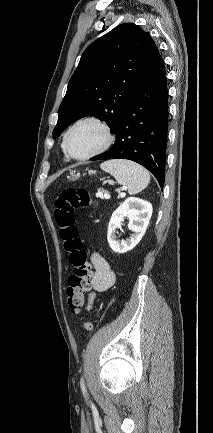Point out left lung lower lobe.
I'll return each mask as SVG.
<instances>
[{
    "instance_id": "0a47b994",
    "label": "left lung lower lobe",
    "mask_w": 213,
    "mask_h": 433,
    "mask_svg": "<svg viewBox=\"0 0 213 433\" xmlns=\"http://www.w3.org/2000/svg\"><path fill=\"white\" fill-rule=\"evenodd\" d=\"M168 94L160 54L141 81L114 128L113 147L90 160L128 159L153 173L161 188L165 180Z\"/></svg>"
}]
</instances>
